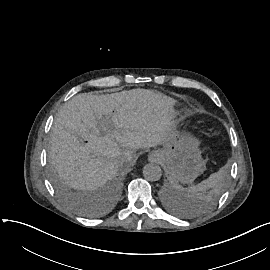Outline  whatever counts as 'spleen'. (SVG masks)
<instances>
[{
    "instance_id": "1",
    "label": "spleen",
    "mask_w": 270,
    "mask_h": 270,
    "mask_svg": "<svg viewBox=\"0 0 270 270\" xmlns=\"http://www.w3.org/2000/svg\"><path fill=\"white\" fill-rule=\"evenodd\" d=\"M226 172L223 169L212 173L206 180L191 186L187 189L180 185H175V197L181 199L184 207L196 208V202L199 201L201 192L208 188H219L225 182ZM194 203V205H192Z\"/></svg>"
}]
</instances>
